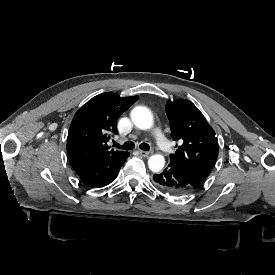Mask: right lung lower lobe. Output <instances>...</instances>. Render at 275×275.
Returning <instances> with one entry per match:
<instances>
[{"label": "right lung lower lobe", "mask_w": 275, "mask_h": 275, "mask_svg": "<svg viewBox=\"0 0 275 275\" xmlns=\"http://www.w3.org/2000/svg\"><path fill=\"white\" fill-rule=\"evenodd\" d=\"M129 153L125 152L118 157L94 160L85 164L73 166L74 171L87 185L101 187L111 183L118 175Z\"/></svg>", "instance_id": "right-lung-lower-lobe-1"}]
</instances>
